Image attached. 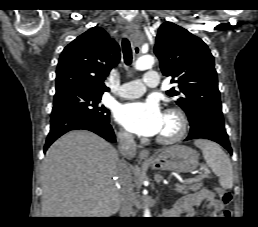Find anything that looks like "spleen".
Returning <instances> with one entry per match:
<instances>
[{"label": "spleen", "instance_id": "3e777b00", "mask_svg": "<svg viewBox=\"0 0 258 227\" xmlns=\"http://www.w3.org/2000/svg\"><path fill=\"white\" fill-rule=\"evenodd\" d=\"M194 145L202 150L204 159L212 171L219 177V183L224 189L233 187V168L230 159L215 142L205 139L194 141Z\"/></svg>", "mask_w": 258, "mask_h": 227}]
</instances>
